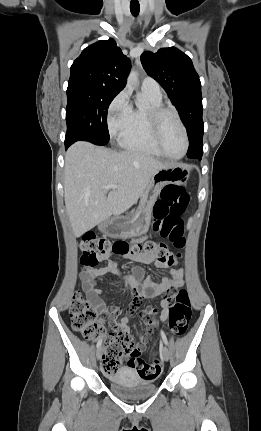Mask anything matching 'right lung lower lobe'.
I'll return each instance as SVG.
<instances>
[{
	"mask_svg": "<svg viewBox=\"0 0 261 431\" xmlns=\"http://www.w3.org/2000/svg\"><path fill=\"white\" fill-rule=\"evenodd\" d=\"M70 145L69 144H65V148L67 149Z\"/></svg>",
	"mask_w": 261,
	"mask_h": 431,
	"instance_id": "98d812e1",
	"label": "right lung lower lobe"
}]
</instances>
